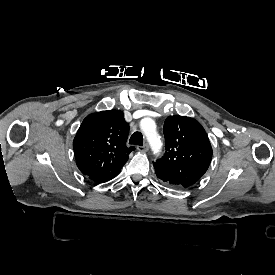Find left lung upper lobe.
Here are the masks:
<instances>
[{
	"instance_id": "1",
	"label": "left lung upper lobe",
	"mask_w": 275,
	"mask_h": 275,
	"mask_svg": "<svg viewBox=\"0 0 275 275\" xmlns=\"http://www.w3.org/2000/svg\"><path fill=\"white\" fill-rule=\"evenodd\" d=\"M165 155L155 164L182 187L197 182L207 171L212 147L199 122L186 116H169L164 123Z\"/></svg>"
}]
</instances>
